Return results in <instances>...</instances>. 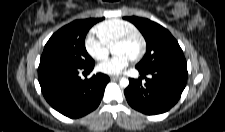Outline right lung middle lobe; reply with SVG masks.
Returning a JSON list of instances; mask_svg holds the SVG:
<instances>
[{"label":"right lung middle lobe","instance_id":"obj_1","mask_svg":"<svg viewBox=\"0 0 225 132\" xmlns=\"http://www.w3.org/2000/svg\"><path fill=\"white\" fill-rule=\"evenodd\" d=\"M101 18L75 20L54 33L44 47L40 63H58L75 67H88L94 60L85 49L88 30Z\"/></svg>","mask_w":225,"mask_h":132}]
</instances>
